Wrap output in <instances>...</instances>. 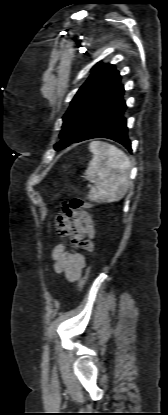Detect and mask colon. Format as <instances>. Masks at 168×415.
I'll list each match as a JSON object with an SVG mask.
<instances>
[{"mask_svg":"<svg viewBox=\"0 0 168 415\" xmlns=\"http://www.w3.org/2000/svg\"><path fill=\"white\" fill-rule=\"evenodd\" d=\"M88 197L90 198L91 196L89 195ZM70 202H72L73 207H81V210H83L84 208H87V207L88 208L94 207V204L84 203V202H89V199H87V197H85V196H76V198L71 199ZM88 275H89V270H87L85 275L80 280V283H79L80 289H82L84 287V285H85V283L88 279Z\"/></svg>","mask_w":168,"mask_h":415,"instance_id":"obj_1","label":"colon"}]
</instances>
